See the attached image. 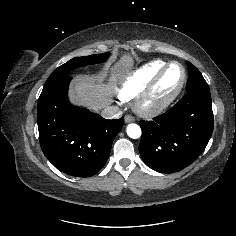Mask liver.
Wrapping results in <instances>:
<instances>
[{
  "mask_svg": "<svg viewBox=\"0 0 236 236\" xmlns=\"http://www.w3.org/2000/svg\"><path fill=\"white\" fill-rule=\"evenodd\" d=\"M131 63L132 58L129 55H124L117 67L126 68ZM103 77V75L100 77L76 76L70 90L71 101L74 104L85 105L95 111L107 106L110 103L109 95L111 94L112 83L107 85L102 83Z\"/></svg>",
  "mask_w": 236,
  "mask_h": 236,
  "instance_id": "6515ba94",
  "label": "liver"
}]
</instances>
